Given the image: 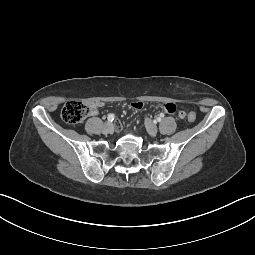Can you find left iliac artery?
<instances>
[{
    "instance_id": "left-iliac-artery-1",
    "label": "left iliac artery",
    "mask_w": 255,
    "mask_h": 255,
    "mask_svg": "<svg viewBox=\"0 0 255 255\" xmlns=\"http://www.w3.org/2000/svg\"><path fill=\"white\" fill-rule=\"evenodd\" d=\"M157 121H161V119H160V118H157Z\"/></svg>"
}]
</instances>
